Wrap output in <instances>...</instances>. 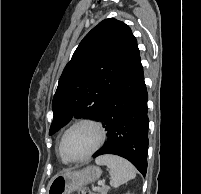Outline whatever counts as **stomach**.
<instances>
[{"label": "stomach", "mask_w": 201, "mask_h": 194, "mask_svg": "<svg viewBox=\"0 0 201 194\" xmlns=\"http://www.w3.org/2000/svg\"><path fill=\"white\" fill-rule=\"evenodd\" d=\"M101 170L96 166H89L81 171H70L55 176L49 184L48 194H71L82 186L99 179Z\"/></svg>", "instance_id": "1"}]
</instances>
